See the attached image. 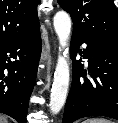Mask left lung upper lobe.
Instances as JSON below:
<instances>
[{"label": "left lung upper lobe", "mask_w": 118, "mask_h": 123, "mask_svg": "<svg viewBox=\"0 0 118 123\" xmlns=\"http://www.w3.org/2000/svg\"><path fill=\"white\" fill-rule=\"evenodd\" d=\"M73 21V33L118 48V10L113 0H58Z\"/></svg>", "instance_id": "obj_1"}]
</instances>
